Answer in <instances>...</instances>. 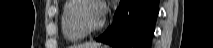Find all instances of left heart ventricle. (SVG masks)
Instances as JSON below:
<instances>
[{
  "mask_svg": "<svg viewBox=\"0 0 213 48\" xmlns=\"http://www.w3.org/2000/svg\"><path fill=\"white\" fill-rule=\"evenodd\" d=\"M81 17L89 27L96 26L101 20L99 6L95 3H87L81 9Z\"/></svg>",
  "mask_w": 213,
  "mask_h": 48,
  "instance_id": "left-heart-ventricle-1",
  "label": "left heart ventricle"
}]
</instances>
